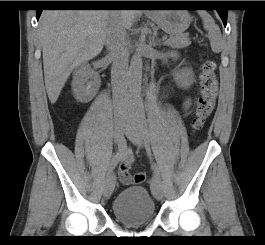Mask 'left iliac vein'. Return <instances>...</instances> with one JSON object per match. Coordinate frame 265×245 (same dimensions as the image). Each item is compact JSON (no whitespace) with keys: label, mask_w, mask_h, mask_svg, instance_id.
I'll return each instance as SVG.
<instances>
[{"label":"left iliac vein","mask_w":265,"mask_h":245,"mask_svg":"<svg viewBox=\"0 0 265 245\" xmlns=\"http://www.w3.org/2000/svg\"><path fill=\"white\" fill-rule=\"evenodd\" d=\"M126 136L134 145L138 147H144L146 145L145 135L136 118H133L127 122ZM152 194L157 200H161L163 197L161 181L157 176L152 178Z\"/></svg>","instance_id":"4c4485c4"}]
</instances>
